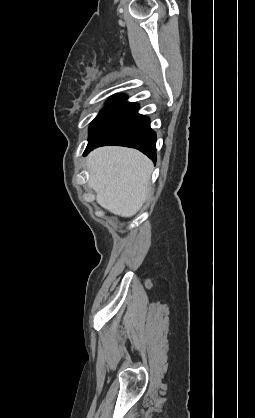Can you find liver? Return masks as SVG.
Segmentation results:
<instances>
[{"instance_id":"1","label":"liver","mask_w":255,"mask_h":418,"mask_svg":"<svg viewBox=\"0 0 255 418\" xmlns=\"http://www.w3.org/2000/svg\"><path fill=\"white\" fill-rule=\"evenodd\" d=\"M89 186L97 202L111 213L131 217L142 207L153 163L135 149L102 147L87 159Z\"/></svg>"}]
</instances>
